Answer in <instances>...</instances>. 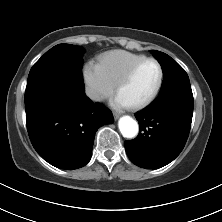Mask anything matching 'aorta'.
Returning a JSON list of instances; mask_svg holds the SVG:
<instances>
[{
    "label": "aorta",
    "instance_id": "obj_1",
    "mask_svg": "<svg viewBox=\"0 0 222 222\" xmlns=\"http://www.w3.org/2000/svg\"><path fill=\"white\" fill-rule=\"evenodd\" d=\"M118 127L125 138L132 139L138 135V123L130 116H123L118 122Z\"/></svg>",
    "mask_w": 222,
    "mask_h": 222
}]
</instances>
